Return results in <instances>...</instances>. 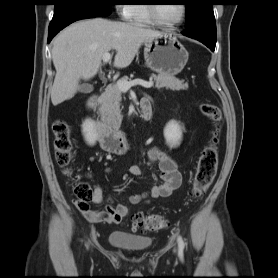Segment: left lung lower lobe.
Returning <instances> with one entry per match:
<instances>
[{"label": "left lung lower lobe", "mask_w": 278, "mask_h": 278, "mask_svg": "<svg viewBox=\"0 0 278 278\" xmlns=\"http://www.w3.org/2000/svg\"><path fill=\"white\" fill-rule=\"evenodd\" d=\"M183 34L187 37L196 39L205 44L211 51L215 50L216 40L208 38L202 31L198 29L186 30Z\"/></svg>", "instance_id": "obj_1"}]
</instances>
